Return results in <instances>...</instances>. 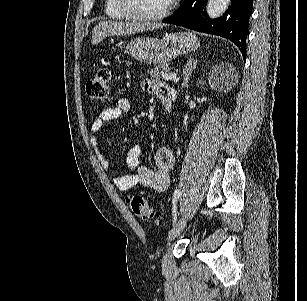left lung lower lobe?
Masks as SVG:
<instances>
[{
	"instance_id": "0a47b994",
	"label": "left lung lower lobe",
	"mask_w": 307,
	"mask_h": 301,
	"mask_svg": "<svg viewBox=\"0 0 307 301\" xmlns=\"http://www.w3.org/2000/svg\"><path fill=\"white\" fill-rule=\"evenodd\" d=\"M207 2L208 0H184L179 9L163 22L227 38L240 48L245 60L253 0H231L226 12L217 19L207 16Z\"/></svg>"
}]
</instances>
